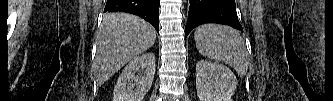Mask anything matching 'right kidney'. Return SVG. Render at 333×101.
Instances as JSON below:
<instances>
[{
    "label": "right kidney",
    "instance_id": "right-kidney-1",
    "mask_svg": "<svg viewBox=\"0 0 333 101\" xmlns=\"http://www.w3.org/2000/svg\"><path fill=\"white\" fill-rule=\"evenodd\" d=\"M145 70L144 75L136 72ZM155 74V55L145 53L131 60L124 68L113 91V101H142L149 91Z\"/></svg>",
    "mask_w": 333,
    "mask_h": 101
}]
</instances>
